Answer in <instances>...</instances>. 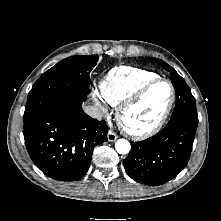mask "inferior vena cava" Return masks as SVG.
<instances>
[{
  "mask_svg": "<svg viewBox=\"0 0 221 221\" xmlns=\"http://www.w3.org/2000/svg\"><path fill=\"white\" fill-rule=\"evenodd\" d=\"M85 112L90 115L91 117H94V118H98L100 119L101 118V111L97 108V107H93V106H86L84 108Z\"/></svg>",
  "mask_w": 221,
  "mask_h": 221,
  "instance_id": "inferior-vena-cava-1",
  "label": "inferior vena cava"
}]
</instances>
